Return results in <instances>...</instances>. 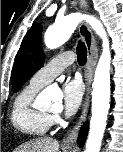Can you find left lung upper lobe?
<instances>
[{
    "mask_svg": "<svg viewBox=\"0 0 123 152\" xmlns=\"http://www.w3.org/2000/svg\"><path fill=\"white\" fill-rule=\"evenodd\" d=\"M41 32V26L33 24L23 38L13 70L14 92L19 91L24 83L43 66L45 55L42 51Z\"/></svg>",
    "mask_w": 123,
    "mask_h": 152,
    "instance_id": "obj_1",
    "label": "left lung upper lobe"
}]
</instances>
